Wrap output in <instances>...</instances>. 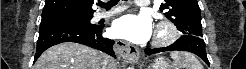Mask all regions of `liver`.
<instances>
[{"instance_id":"1","label":"liver","mask_w":246,"mask_h":69,"mask_svg":"<svg viewBox=\"0 0 246 69\" xmlns=\"http://www.w3.org/2000/svg\"><path fill=\"white\" fill-rule=\"evenodd\" d=\"M34 69H117L108 55L78 43H62L46 50Z\"/></svg>"}]
</instances>
